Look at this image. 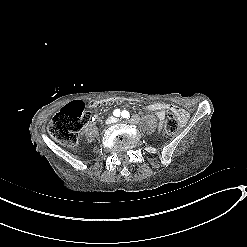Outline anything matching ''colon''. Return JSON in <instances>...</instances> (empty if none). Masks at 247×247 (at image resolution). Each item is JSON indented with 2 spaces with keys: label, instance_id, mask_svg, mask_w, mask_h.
Masks as SVG:
<instances>
[{
  "label": "colon",
  "instance_id": "5ec220e1",
  "mask_svg": "<svg viewBox=\"0 0 247 247\" xmlns=\"http://www.w3.org/2000/svg\"><path fill=\"white\" fill-rule=\"evenodd\" d=\"M124 103L126 105H139L143 108L148 106V103L145 100L140 98L134 99L130 97H109L89 102L85 106L82 103L75 102L67 105L55 115L52 123L48 127L49 134L54 139L65 144H75L77 142L80 130L89 121V117L85 111V108L87 110H91L94 108H101V106ZM177 129V118L171 111H169L165 120V131L167 134H174Z\"/></svg>",
  "mask_w": 247,
  "mask_h": 247
}]
</instances>
